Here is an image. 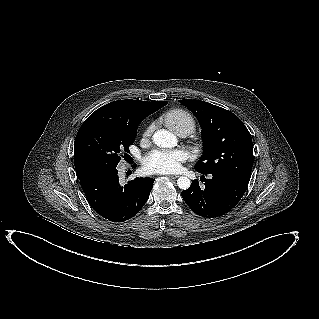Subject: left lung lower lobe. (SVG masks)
Listing matches in <instances>:
<instances>
[{"label":"left lung lower lobe","mask_w":319,"mask_h":319,"mask_svg":"<svg viewBox=\"0 0 319 319\" xmlns=\"http://www.w3.org/2000/svg\"><path fill=\"white\" fill-rule=\"evenodd\" d=\"M203 174V173H201ZM200 188L198 180L182 191L186 204L196 214L205 218L220 217L230 212L243 197L248 183L224 173H212Z\"/></svg>","instance_id":"obj_1"}]
</instances>
